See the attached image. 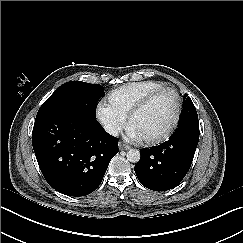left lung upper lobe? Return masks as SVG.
I'll return each mask as SVG.
<instances>
[{"instance_id": "1", "label": "left lung upper lobe", "mask_w": 243, "mask_h": 243, "mask_svg": "<svg viewBox=\"0 0 243 243\" xmlns=\"http://www.w3.org/2000/svg\"><path fill=\"white\" fill-rule=\"evenodd\" d=\"M182 106H183V110L179 118L178 127L188 121H198L196 108L189 96L187 95L184 96V101Z\"/></svg>"}]
</instances>
